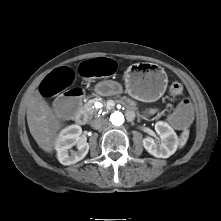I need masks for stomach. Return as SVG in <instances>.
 Masks as SVG:
<instances>
[{
	"mask_svg": "<svg viewBox=\"0 0 221 221\" xmlns=\"http://www.w3.org/2000/svg\"><path fill=\"white\" fill-rule=\"evenodd\" d=\"M126 92L142 102H154L165 92L168 78L162 67L155 63H136L124 73Z\"/></svg>",
	"mask_w": 221,
	"mask_h": 221,
	"instance_id": "1",
	"label": "stomach"
}]
</instances>
